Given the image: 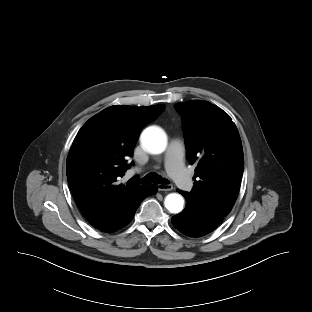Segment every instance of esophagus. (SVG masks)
<instances>
[{
	"label": "esophagus",
	"mask_w": 312,
	"mask_h": 312,
	"mask_svg": "<svg viewBox=\"0 0 312 312\" xmlns=\"http://www.w3.org/2000/svg\"><path fill=\"white\" fill-rule=\"evenodd\" d=\"M173 186L171 184H158L159 191H171Z\"/></svg>",
	"instance_id": "1"
}]
</instances>
